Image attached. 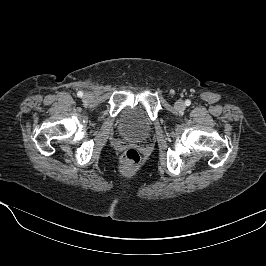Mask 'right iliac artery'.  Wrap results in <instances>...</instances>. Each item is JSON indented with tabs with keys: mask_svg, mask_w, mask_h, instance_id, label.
Segmentation results:
<instances>
[{
	"mask_svg": "<svg viewBox=\"0 0 266 266\" xmlns=\"http://www.w3.org/2000/svg\"><path fill=\"white\" fill-rule=\"evenodd\" d=\"M77 95H78V97H82V96H83V92H82V91H79V92L77 93Z\"/></svg>",
	"mask_w": 266,
	"mask_h": 266,
	"instance_id": "1",
	"label": "right iliac artery"
}]
</instances>
